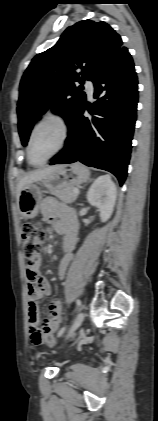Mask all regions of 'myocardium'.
Instances as JSON below:
<instances>
[{
	"mask_svg": "<svg viewBox=\"0 0 158 421\" xmlns=\"http://www.w3.org/2000/svg\"><path fill=\"white\" fill-rule=\"evenodd\" d=\"M47 122H54V123L59 125V127L61 129V140H60L59 146L57 147V149L51 155H49L42 162L34 163V162H32L31 155H30L31 141H32V138H33L36 130L40 126H42L43 124H45ZM69 134H70V127H69L67 119L63 115H61L59 113H48V114H45L44 116H42L33 125V127L31 128V131L29 133V136H28L27 145H26V153H27V159H28L29 163L33 166H42V165L46 164L47 162H49L53 157H55L58 153H60L63 150V148L65 147V145L67 143V140L69 138Z\"/></svg>",
	"mask_w": 158,
	"mask_h": 421,
	"instance_id": "obj_1",
	"label": "myocardium"
}]
</instances>
